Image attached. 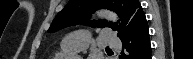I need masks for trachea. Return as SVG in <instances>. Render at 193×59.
Listing matches in <instances>:
<instances>
[{"mask_svg": "<svg viewBox=\"0 0 193 59\" xmlns=\"http://www.w3.org/2000/svg\"><path fill=\"white\" fill-rule=\"evenodd\" d=\"M106 49H107V50H110V48H108V47H107Z\"/></svg>", "mask_w": 193, "mask_h": 59, "instance_id": "obj_1", "label": "trachea"}]
</instances>
